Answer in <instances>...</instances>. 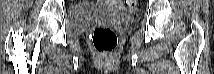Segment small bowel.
<instances>
[{
  "label": "small bowel",
  "mask_w": 214,
  "mask_h": 74,
  "mask_svg": "<svg viewBox=\"0 0 214 74\" xmlns=\"http://www.w3.org/2000/svg\"><path fill=\"white\" fill-rule=\"evenodd\" d=\"M112 3H114V4H118L119 2L112 1Z\"/></svg>",
  "instance_id": "obj_1"
}]
</instances>
